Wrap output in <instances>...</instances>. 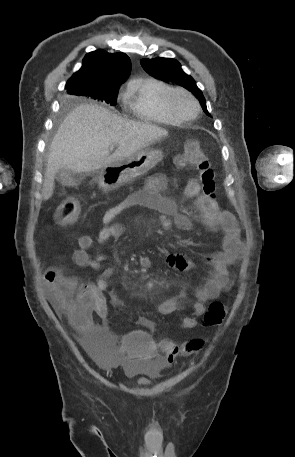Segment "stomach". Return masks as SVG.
<instances>
[{
	"label": "stomach",
	"mask_w": 295,
	"mask_h": 457,
	"mask_svg": "<svg viewBox=\"0 0 295 457\" xmlns=\"http://www.w3.org/2000/svg\"><path fill=\"white\" fill-rule=\"evenodd\" d=\"M163 159L161 149H142L96 171L98 184L104 191H111L143 175Z\"/></svg>",
	"instance_id": "0dacf381"
}]
</instances>
